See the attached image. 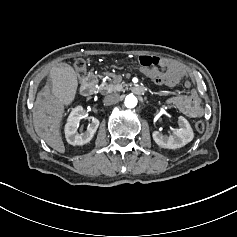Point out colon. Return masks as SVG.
Wrapping results in <instances>:
<instances>
[{
  "mask_svg": "<svg viewBox=\"0 0 237 237\" xmlns=\"http://www.w3.org/2000/svg\"><path fill=\"white\" fill-rule=\"evenodd\" d=\"M166 61L163 58L157 56L142 55L138 58V64L140 67L145 69H155L157 74L152 78V81L156 84L167 85L172 82V77L164 72V66ZM74 69L79 76H83L86 72L85 61L79 59L74 63ZM195 129L198 132H204L205 124L202 121L195 123Z\"/></svg>",
  "mask_w": 237,
  "mask_h": 237,
  "instance_id": "obj_1",
  "label": "colon"
}]
</instances>
